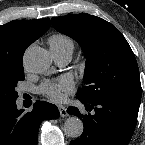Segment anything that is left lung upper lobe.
Returning a JSON list of instances; mask_svg holds the SVG:
<instances>
[{
  "instance_id": "5c2ea615",
  "label": "left lung upper lobe",
  "mask_w": 145,
  "mask_h": 145,
  "mask_svg": "<svg viewBox=\"0 0 145 145\" xmlns=\"http://www.w3.org/2000/svg\"><path fill=\"white\" fill-rule=\"evenodd\" d=\"M53 27L75 39L86 56L83 88L87 102L119 95H141L138 65L124 36L109 22L89 14L52 18Z\"/></svg>"
}]
</instances>
